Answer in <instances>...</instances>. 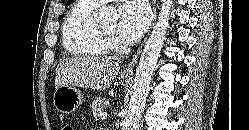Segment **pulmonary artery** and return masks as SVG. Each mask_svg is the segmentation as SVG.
Wrapping results in <instances>:
<instances>
[{"label": "pulmonary artery", "instance_id": "pulmonary-artery-1", "mask_svg": "<svg viewBox=\"0 0 249 130\" xmlns=\"http://www.w3.org/2000/svg\"><path fill=\"white\" fill-rule=\"evenodd\" d=\"M93 1L96 2V3L102 4V3L109 2L111 0H93Z\"/></svg>", "mask_w": 249, "mask_h": 130}]
</instances>
